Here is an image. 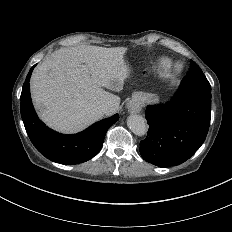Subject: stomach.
I'll use <instances>...</instances> for the list:
<instances>
[{
  "label": "stomach",
  "mask_w": 232,
  "mask_h": 232,
  "mask_svg": "<svg viewBox=\"0 0 232 232\" xmlns=\"http://www.w3.org/2000/svg\"><path fill=\"white\" fill-rule=\"evenodd\" d=\"M155 98L151 94L146 93H135L132 100L135 101L138 105L143 106L145 102L153 101Z\"/></svg>",
  "instance_id": "stomach-1"
}]
</instances>
